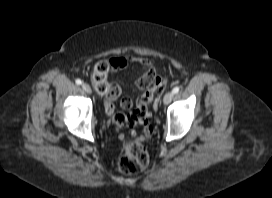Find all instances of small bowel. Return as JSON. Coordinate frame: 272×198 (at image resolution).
Returning <instances> with one entry per match:
<instances>
[{
  "instance_id": "obj_1",
  "label": "small bowel",
  "mask_w": 272,
  "mask_h": 198,
  "mask_svg": "<svg viewBox=\"0 0 272 198\" xmlns=\"http://www.w3.org/2000/svg\"><path fill=\"white\" fill-rule=\"evenodd\" d=\"M128 62L137 63L142 67V70H143L142 76L140 79H138L136 83L138 88L144 90L140 98L148 96V95L153 97V95L156 93V91L153 88L144 89L138 86V82L142 79L156 78L154 69L147 59L142 57H136V56H131L127 58L119 57V58L112 59L110 63L113 67V71H120L126 68ZM120 94H121L120 87L117 84H113L111 92L108 93L107 95H104L105 112L108 115H111L114 112V108H115L114 103L119 98ZM120 105L124 109H129L132 106V99L129 96H125L121 98Z\"/></svg>"
}]
</instances>
